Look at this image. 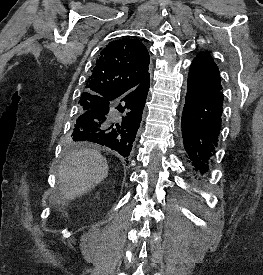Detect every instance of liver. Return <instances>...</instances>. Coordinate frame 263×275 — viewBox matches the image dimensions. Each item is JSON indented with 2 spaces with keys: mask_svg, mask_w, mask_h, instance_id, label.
<instances>
[{
  "mask_svg": "<svg viewBox=\"0 0 263 275\" xmlns=\"http://www.w3.org/2000/svg\"><path fill=\"white\" fill-rule=\"evenodd\" d=\"M108 170L106 159L97 150L72 151L59 166V195L54 199L55 204L73 200L92 190L108 176Z\"/></svg>",
  "mask_w": 263,
  "mask_h": 275,
  "instance_id": "1",
  "label": "liver"
}]
</instances>
